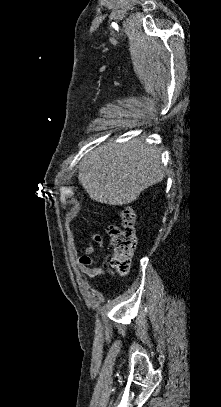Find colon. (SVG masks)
Returning a JSON list of instances; mask_svg holds the SVG:
<instances>
[{"instance_id": "obj_1", "label": "colon", "mask_w": 221, "mask_h": 407, "mask_svg": "<svg viewBox=\"0 0 221 407\" xmlns=\"http://www.w3.org/2000/svg\"><path fill=\"white\" fill-rule=\"evenodd\" d=\"M120 216L121 224L112 225L107 231L112 243L109 265L125 275L129 271L130 259L136 245L135 219L133 212L128 208L123 209Z\"/></svg>"}]
</instances>
